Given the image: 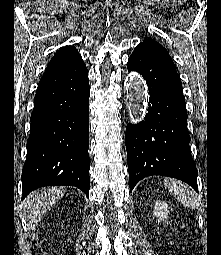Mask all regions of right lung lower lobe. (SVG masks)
Here are the masks:
<instances>
[{
	"label": "right lung lower lobe",
	"mask_w": 221,
	"mask_h": 255,
	"mask_svg": "<svg viewBox=\"0 0 221 255\" xmlns=\"http://www.w3.org/2000/svg\"><path fill=\"white\" fill-rule=\"evenodd\" d=\"M89 95L81 56L42 76L30 119L22 199L55 185L75 186L89 197Z\"/></svg>",
	"instance_id": "obj_1"
}]
</instances>
